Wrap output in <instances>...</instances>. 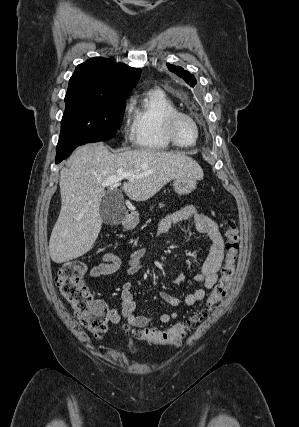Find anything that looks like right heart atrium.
<instances>
[{
    "instance_id": "right-heart-atrium-1",
    "label": "right heart atrium",
    "mask_w": 299,
    "mask_h": 427,
    "mask_svg": "<svg viewBox=\"0 0 299 427\" xmlns=\"http://www.w3.org/2000/svg\"><path fill=\"white\" fill-rule=\"evenodd\" d=\"M130 110H131L130 101H126L123 106V118H124L123 133L126 138L132 139V125H130L127 122V116Z\"/></svg>"
}]
</instances>
